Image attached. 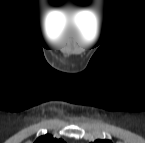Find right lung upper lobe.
<instances>
[{
  "label": "right lung upper lobe",
  "mask_w": 145,
  "mask_h": 143,
  "mask_svg": "<svg viewBox=\"0 0 145 143\" xmlns=\"http://www.w3.org/2000/svg\"><path fill=\"white\" fill-rule=\"evenodd\" d=\"M63 140L53 138L52 135H43L40 136L34 143H62Z\"/></svg>",
  "instance_id": "right-lung-upper-lobe-1"
}]
</instances>
